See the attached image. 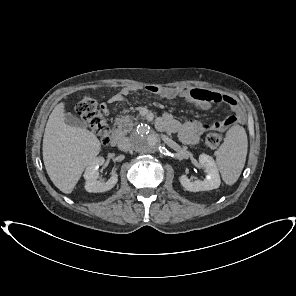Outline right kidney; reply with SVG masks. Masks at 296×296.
<instances>
[{
	"mask_svg": "<svg viewBox=\"0 0 296 296\" xmlns=\"http://www.w3.org/2000/svg\"><path fill=\"white\" fill-rule=\"evenodd\" d=\"M105 159L103 157H96L88 164L85 173V190L87 192L99 193L112 189L118 182V175L113 174L106 182L99 180V167L103 165Z\"/></svg>",
	"mask_w": 296,
	"mask_h": 296,
	"instance_id": "ca27d5eb",
	"label": "right kidney"
}]
</instances>
